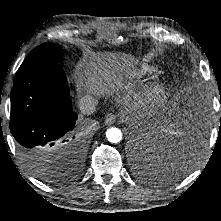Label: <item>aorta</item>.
Listing matches in <instances>:
<instances>
[{"mask_svg": "<svg viewBox=\"0 0 221 221\" xmlns=\"http://www.w3.org/2000/svg\"><path fill=\"white\" fill-rule=\"evenodd\" d=\"M122 136L121 130L116 127H110L106 131V137L110 143H119L122 140Z\"/></svg>", "mask_w": 221, "mask_h": 221, "instance_id": "aorta-1", "label": "aorta"}]
</instances>
